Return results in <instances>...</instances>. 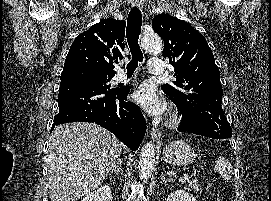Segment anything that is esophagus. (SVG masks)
I'll use <instances>...</instances> for the list:
<instances>
[{"label": "esophagus", "instance_id": "34e87169", "mask_svg": "<svg viewBox=\"0 0 271 201\" xmlns=\"http://www.w3.org/2000/svg\"><path fill=\"white\" fill-rule=\"evenodd\" d=\"M133 6L142 7V0H133ZM151 139L157 143L162 141V133L157 128H152L150 132Z\"/></svg>", "mask_w": 271, "mask_h": 201}]
</instances>
